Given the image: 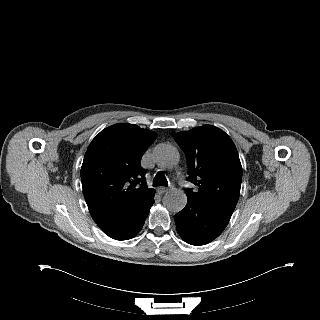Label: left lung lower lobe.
Masks as SVG:
<instances>
[{
  "mask_svg": "<svg viewBox=\"0 0 320 320\" xmlns=\"http://www.w3.org/2000/svg\"><path fill=\"white\" fill-rule=\"evenodd\" d=\"M230 218L226 212L191 197L184 209L174 216L178 234L185 242L197 246L217 238Z\"/></svg>",
  "mask_w": 320,
  "mask_h": 320,
  "instance_id": "0a47b994",
  "label": "left lung lower lobe"
}]
</instances>
